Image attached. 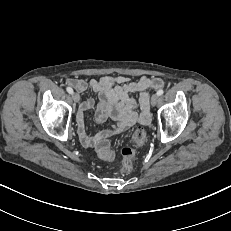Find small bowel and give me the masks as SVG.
Listing matches in <instances>:
<instances>
[{
    "instance_id": "1",
    "label": "small bowel",
    "mask_w": 231,
    "mask_h": 231,
    "mask_svg": "<svg viewBox=\"0 0 231 231\" xmlns=\"http://www.w3.org/2000/svg\"><path fill=\"white\" fill-rule=\"evenodd\" d=\"M67 84L77 91L83 92L91 88L99 94V104L95 113L98 123L108 118L114 121L111 128L102 130L91 136L85 125V112L94 107V100L88 98L82 102L77 113V126L80 142L86 148H93L108 137L119 134L136 123L149 122V89H158L164 86L161 78L142 76L133 81L127 76H105L100 79L84 80L69 78ZM134 93H139L136 100Z\"/></svg>"
}]
</instances>
